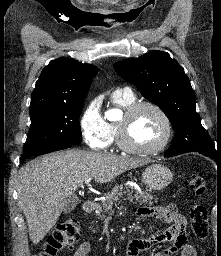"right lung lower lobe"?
<instances>
[{
  "instance_id": "right-lung-lower-lobe-1",
  "label": "right lung lower lobe",
  "mask_w": 221,
  "mask_h": 256,
  "mask_svg": "<svg viewBox=\"0 0 221 256\" xmlns=\"http://www.w3.org/2000/svg\"><path fill=\"white\" fill-rule=\"evenodd\" d=\"M71 146H72V144H59V145H55V146H52L50 148H47V149L39 152L35 156H39V155H42V154L50 153V152H53V151H58V150L66 149V148H69Z\"/></svg>"
}]
</instances>
